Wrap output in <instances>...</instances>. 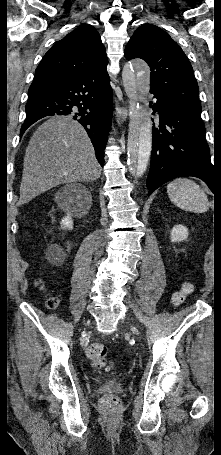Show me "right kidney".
<instances>
[{"label":"right kidney","instance_id":"obj_1","mask_svg":"<svg viewBox=\"0 0 221 455\" xmlns=\"http://www.w3.org/2000/svg\"><path fill=\"white\" fill-rule=\"evenodd\" d=\"M60 224H61L62 229L72 230L73 229V220H72L71 215L67 214V216H65L61 220ZM47 255L54 260H61L64 258L65 253L61 247H59L57 245H53L48 248Z\"/></svg>","mask_w":221,"mask_h":455}]
</instances>
